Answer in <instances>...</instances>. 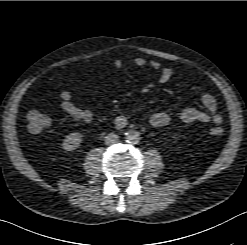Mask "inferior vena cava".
<instances>
[{"mask_svg":"<svg viewBox=\"0 0 247 245\" xmlns=\"http://www.w3.org/2000/svg\"><path fill=\"white\" fill-rule=\"evenodd\" d=\"M119 140V137L117 134L110 133L105 137V144L106 145H113L116 144Z\"/></svg>","mask_w":247,"mask_h":245,"instance_id":"602c4592","label":"inferior vena cava"}]
</instances>
